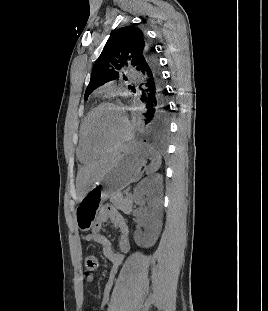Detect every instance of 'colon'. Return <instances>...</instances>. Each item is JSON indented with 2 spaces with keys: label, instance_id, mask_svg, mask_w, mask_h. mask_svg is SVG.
I'll return each mask as SVG.
<instances>
[{
  "label": "colon",
  "instance_id": "1",
  "mask_svg": "<svg viewBox=\"0 0 268 311\" xmlns=\"http://www.w3.org/2000/svg\"><path fill=\"white\" fill-rule=\"evenodd\" d=\"M85 271L91 273L98 267V259L94 255H89L86 257L84 262Z\"/></svg>",
  "mask_w": 268,
  "mask_h": 311
}]
</instances>
